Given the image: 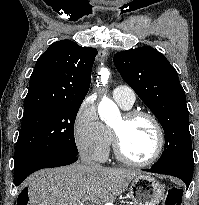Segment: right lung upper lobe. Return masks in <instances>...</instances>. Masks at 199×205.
<instances>
[{
  "label": "right lung upper lobe",
  "mask_w": 199,
  "mask_h": 205,
  "mask_svg": "<svg viewBox=\"0 0 199 205\" xmlns=\"http://www.w3.org/2000/svg\"><path fill=\"white\" fill-rule=\"evenodd\" d=\"M97 50L70 40L51 44L38 58L30 77L24 111L55 103H80L91 81Z\"/></svg>",
  "instance_id": "1"
}]
</instances>
